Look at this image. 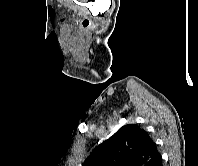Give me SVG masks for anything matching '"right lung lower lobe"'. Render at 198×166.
Wrapping results in <instances>:
<instances>
[{"mask_svg": "<svg viewBox=\"0 0 198 166\" xmlns=\"http://www.w3.org/2000/svg\"><path fill=\"white\" fill-rule=\"evenodd\" d=\"M149 166H162V158L161 155H158Z\"/></svg>", "mask_w": 198, "mask_h": 166, "instance_id": "1", "label": "right lung lower lobe"}]
</instances>
